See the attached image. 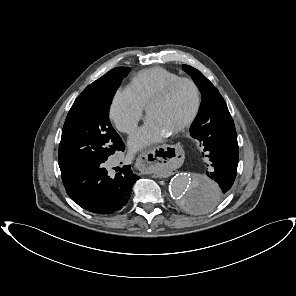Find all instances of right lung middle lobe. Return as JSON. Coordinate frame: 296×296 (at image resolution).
I'll list each match as a JSON object with an SVG mask.
<instances>
[{
    "label": "right lung middle lobe",
    "mask_w": 296,
    "mask_h": 296,
    "mask_svg": "<svg viewBox=\"0 0 296 296\" xmlns=\"http://www.w3.org/2000/svg\"><path fill=\"white\" fill-rule=\"evenodd\" d=\"M130 68L117 67L87 86L73 103L59 145L61 174L107 159L124 149L109 121L112 97Z\"/></svg>",
    "instance_id": "1"
}]
</instances>
